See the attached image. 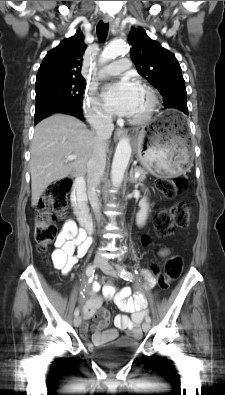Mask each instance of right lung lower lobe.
<instances>
[{"mask_svg": "<svg viewBox=\"0 0 225 395\" xmlns=\"http://www.w3.org/2000/svg\"><path fill=\"white\" fill-rule=\"evenodd\" d=\"M54 113H65L72 116H75L81 120H84L83 112H82V104L78 103H62L55 105L46 111L42 112L39 115H35V124H37L43 118L54 114Z\"/></svg>", "mask_w": 225, "mask_h": 395, "instance_id": "right-lung-lower-lobe-1", "label": "right lung lower lobe"}]
</instances>
